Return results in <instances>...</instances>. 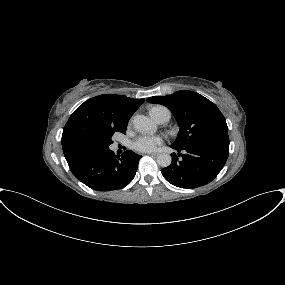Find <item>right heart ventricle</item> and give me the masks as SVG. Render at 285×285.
Segmentation results:
<instances>
[{
  "label": "right heart ventricle",
  "mask_w": 285,
  "mask_h": 285,
  "mask_svg": "<svg viewBox=\"0 0 285 285\" xmlns=\"http://www.w3.org/2000/svg\"><path fill=\"white\" fill-rule=\"evenodd\" d=\"M150 114L155 120L157 119V117L164 114L170 117V111L166 107L160 105L152 107L150 109Z\"/></svg>",
  "instance_id": "1"
}]
</instances>
